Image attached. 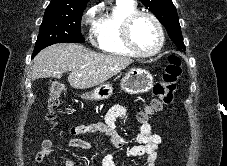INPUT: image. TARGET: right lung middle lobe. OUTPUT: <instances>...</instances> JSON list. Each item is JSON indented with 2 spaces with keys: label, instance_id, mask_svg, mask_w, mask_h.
<instances>
[{
  "label": "right lung middle lobe",
  "instance_id": "dd1d6c3e",
  "mask_svg": "<svg viewBox=\"0 0 227 166\" xmlns=\"http://www.w3.org/2000/svg\"><path fill=\"white\" fill-rule=\"evenodd\" d=\"M83 10L45 11L33 56L55 43H84L80 25Z\"/></svg>",
  "mask_w": 227,
  "mask_h": 166
}]
</instances>
